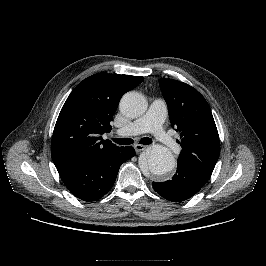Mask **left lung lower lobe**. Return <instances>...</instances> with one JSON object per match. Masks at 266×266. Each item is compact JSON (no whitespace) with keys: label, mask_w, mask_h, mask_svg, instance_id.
<instances>
[{"label":"left lung lower lobe","mask_w":266,"mask_h":266,"mask_svg":"<svg viewBox=\"0 0 266 266\" xmlns=\"http://www.w3.org/2000/svg\"><path fill=\"white\" fill-rule=\"evenodd\" d=\"M208 180V177L177 164L176 174L171 180L153 182L152 186L165 199L181 202L195 195Z\"/></svg>","instance_id":"1"}]
</instances>
